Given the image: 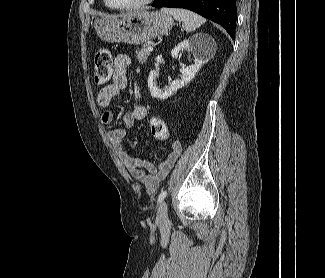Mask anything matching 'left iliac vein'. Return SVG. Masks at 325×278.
I'll list each match as a JSON object with an SVG mask.
<instances>
[{
  "mask_svg": "<svg viewBox=\"0 0 325 278\" xmlns=\"http://www.w3.org/2000/svg\"><path fill=\"white\" fill-rule=\"evenodd\" d=\"M156 222L160 225H164L168 222V210L166 202H161L159 205Z\"/></svg>",
  "mask_w": 325,
  "mask_h": 278,
  "instance_id": "4c4485c4",
  "label": "left iliac vein"
}]
</instances>
